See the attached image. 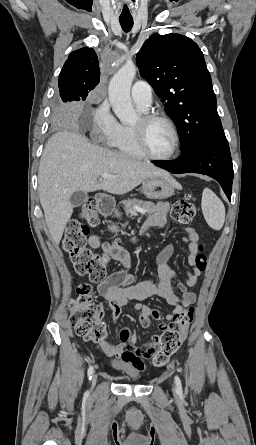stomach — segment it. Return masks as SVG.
I'll return each instance as SVG.
<instances>
[{
	"mask_svg": "<svg viewBox=\"0 0 256 445\" xmlns=\"http://www.w3.org/2000/svg\"><path fill=\"white\" fill-rule=\"evenodd\" d=\"M176 188V182L171 176H153L142 184V193L150 199L163 200L171 197Z\"/></svg>",
	"mask_w": 256,
	"mask_h": 445,
	"instance_id": "0dacf381",
	"label": "stomach"
}]
</instances>
